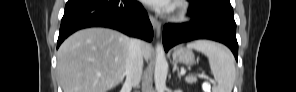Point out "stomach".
Masks as SVG:
<instances>
[{
  "label": "stomach",
  "instance_id": "stomach-1",
  "mask_svg": "<svg viewBox=\"0 0 296 92\" xmlns=\"http://www.w3.org/2000/svg\"><path fill=\"white\" fill-rule=\"evenodd\" d=\"M173 59L187 66H191L195 63V56L193 52L185 47L177 48L173 53Z\"/></svg>",
  "mask_w": 296,
  "mask_h": 92
}]
</instances>
